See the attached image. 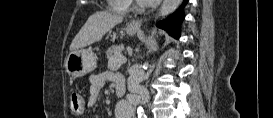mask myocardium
I'll use <instances>...</instances> for the list:
<instances>
[{"label":"myocardium","mask_w":273,"mask_h":118,"mask_svg":"<svg viewBox=\"0 0 273 118\" xmlns=\"http://www.w3.org/2000/svg\"><path fill=\"white\" fill-rule=\"evenodd\" d=\"M135 8L138 9V10H141V9H143V5L140 4V3H137V4L135 5Z\"/></svg>","instance_id":"f54148a6"}]
</instances>
